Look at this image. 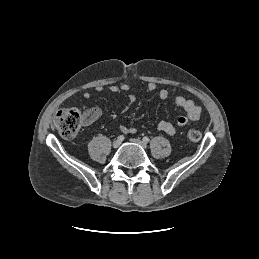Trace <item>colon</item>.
Returning <instances> with one entry per match:
<instances>
[{
    "label": "colon",
    "mask_w": 259,
    "mask_h": 259,
    "mask_svg": "<svg viewBox=\"0 0 259 259\" xmlns=\"http://www.w3.org/2000/svg\"><path fill=\"white\" fill-rule=\"evenodd\" d=\"M92 118V112H83L77 108L62 109L57 112L54 124L65 139L74 138L83 123ZM186 138L190 142H198L201 139V132L196 128H190L186 133Z\"/></svg>",
    "instance_id": "1"
}]
</instances>
